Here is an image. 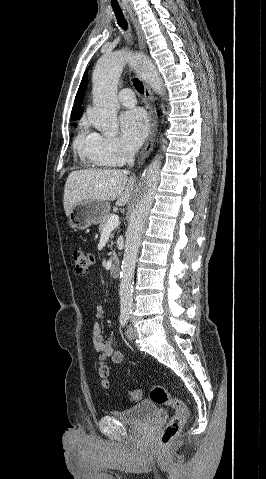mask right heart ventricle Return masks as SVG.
Returning a JSON list of instances; mask_svg holds the SVG:
<instances>
[{
	"mask_svg": "<svg viewBox=\"0 0 266 479\" xmlns=\"http://www.w3.org/2000/svg\"><path fill=\"white\" fill-rule=\"evenodd\" d=\"M74 148L85 165L94 167L110 166L96 151L95 134L89 133L84 126L80 128L77 134Z\"/></svg>",
	"mask_w": 266,
	"mask_h": 479,
	"instance_id": "1",
	"label": "right heart ventricle"
}]
</instances>
